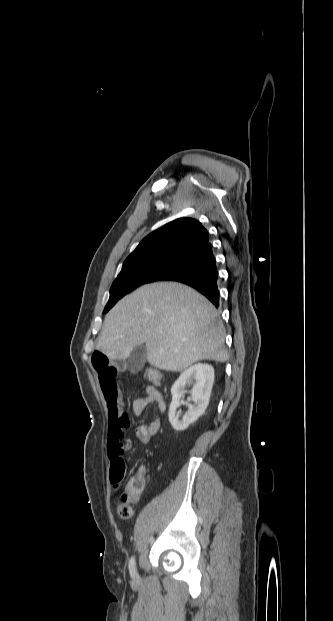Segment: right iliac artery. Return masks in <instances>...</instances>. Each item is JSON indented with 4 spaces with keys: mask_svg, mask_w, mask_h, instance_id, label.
<instances>
[{
    "mask_svg": "<svg viewBox=\"0 0 333 621\" xmlns=\"http://www.w3.org/2000/svg\"><path fill=\"white\" fill-rule=\"evenodd\" d=\"M129 572L132 578L136 577V563L134 556L129 561Z\"/></svg>",
    "mask_w": 333,
    "mask_h": 621,
    "instance_id": "right-iliac-artery-1",
    "label": "right iliac artery"
}]
</instances>
